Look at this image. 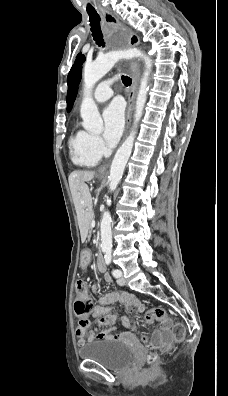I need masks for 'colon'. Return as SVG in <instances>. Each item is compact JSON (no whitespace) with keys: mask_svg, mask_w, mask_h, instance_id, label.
Returning a JSON list of instances; mask_svg holds the SVG:
<instances>
[{"mask_svg":"<svg viewBox=\"0 0 228 396\" xmlns=\"http://www.w3.org/2000/svg\"><path fill=\"white\" fill-rule=\"evenodd\" d=\"M94 309L91 298L88 295L86 284L83 280H79L76 283V299L74 303V311L78 317V327L87 328L89 326V320L87 315ZM145 320L148 323L154 321H160L165 326H170L172 330V339L175 342H180L185 337V328L180 323L172 324L169 315L163 308H153L149 310L145 315ZM155 359V355L149 357V362Z\"/></svg>","mask_w":228,"mask_h":396,"instance_id":"colon-1","label":"colon"}]
</instances>
